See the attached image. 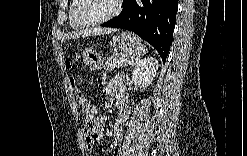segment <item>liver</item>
Here are the masks:
<instances>
[{
    "label": "liver",
    "mask_w": 247,
    "mask_h": 156,
    "mask_svg": "<svg viewBox=\"0 0 247 156\" xmlns=\"http://www.w3.org/2000/svg\"><path fill=\"white\" fill-rule=\"evenodd\" d=\"M117 29L114 28H93V29H87L84 31L74 32L71 35L67 37V39H75L79 37H88L91 35H103V34H110L113 32H116Z\"/></svg>",
    "instance_id": "1"
}]
</instances>
